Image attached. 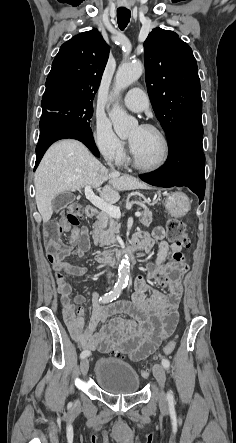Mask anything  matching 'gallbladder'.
Returning <instances> with one entry per match:
<instances>
[{
	"mask_svg": "<svg viewBox=\"0 0 236 443\" xmlns=\"http://www.w3.org/2000/svg\"><path fill=\"white\" fill-rule=\"evenodd\" d=\"M75 195L69 191L58 194L52 200V207L55 212H59L70 203L74 202Z\"/></svg>",
	"mask_w": 236,
	"mask_h": 443,
	"instance_id": "obj_1",
	"label": "gallbladder"
}]
</instances>
